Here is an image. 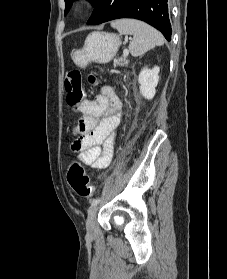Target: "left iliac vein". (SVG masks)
Here are the masks:
<instances>
[{
  "mask_svg": "<svg viewBox=\"0 0 227 279\" xmlns=\"http://www.w3.org/2000/svg\"><path fill=\"white\" fill-rule=\"evenodd\" d=\"M99 209V205H93L88 213L86 227H87V233L88 236H93L95 234V222L97 217V212Z\"/></svg>",
  "mask_w": 227,
  "mask_h": 279,
  "instance_id": "1",
  "label": "left iliac vein"
}]
</instances>
